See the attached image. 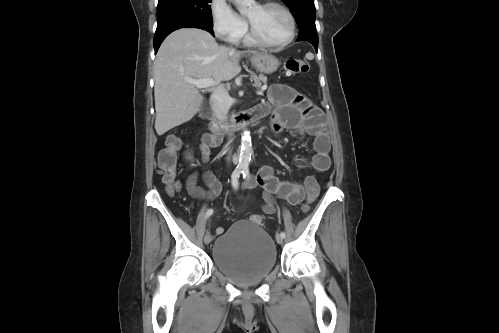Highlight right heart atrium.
<instances>
[{
	"instance_id": "obj_1",
	"label": "right heart atrium",
	"mask_w": 499,
	"mask_h": 333,
	"mask_svg": "<svg viewBox=\"0 0 499 333\" xmlns=\"http://www.w3.org/2000/svg\"><path fill=\"white\" fill-rule=\"evenodd\" d=\"M210 16L215 35L228 42H238L246 31L245 21L225 0H211Z\"/></svg>"
}]
</instances>
